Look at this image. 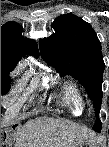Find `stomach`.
I'll return each mask as SVG.
<instances>
[{
  "mask_svg": "<svg viewBox=\"0 0 109 147\" xmlns=\"http://www.w3.org/2000/svg\"><path fill=\"white\" fill-rule=\"evenodd\" d=\"M78 147H94V144L92 141L82 140Z\"/></svg>",
  "mask_w": 109,
  "mask_h": 147,
  "instance_id": "0dacf381",
  "label": "stomach"
}]
</instances>
